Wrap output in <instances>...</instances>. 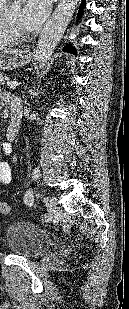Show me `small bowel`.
Masks as SVG:
<instances>
[{
  "label": "small bowel",
  "instance_id": "1",
  "mask_svg": "<svg viewBox=\"0 0 129 309\" xmlns=\"http://www.w3.org/2000/svg\"><path fill=\"white\" fill-rule=\"evenodd\" d=\"M0 150L5 154L11 153V145L9 143H3L0 146ZM12 173L11 168L6 162H0V184L6 185L11 182Z\"/></svg>",
  "mask_w": 129,
  "mask_h": 309
}]
</instances>
